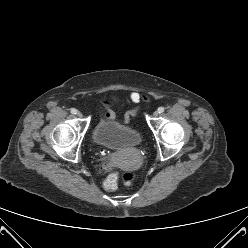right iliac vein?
<instances>
[{
	"label": "right iliac vein",
	"instance_id": "63e3f726",
	"mask_svg": "<svg viewBox=\"0 0 248 248\" xmlns=\"http://www.w3.org/2000/svg\"><path fill=\"white\" fill-rule=\"evenodd\" d=\"M76 114H77L78 117H82V113L81 112L78 111Z\"/></svg>",
	"mask_w": 248,
	"mask_h": 248
}]
</instances>
